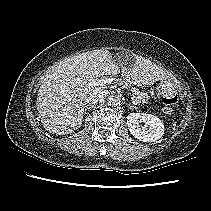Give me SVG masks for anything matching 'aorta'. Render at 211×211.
<instances>
[{
	"instance_id": "1",
	"label": "aorta",
	"mask_w": 211,
	"mask_h": 211,
	"mask_svg": "<svg viewBox=\"0 0 211 211\" xmlns=\"http://www.w3.org/2000/svg\"><path fill=\"white\" fill-rule=\"evenodd\" d=\"M120 102V99L117 96H110L108 99V104L111 107H116Z\"/></svg>"
}]
</instances>
